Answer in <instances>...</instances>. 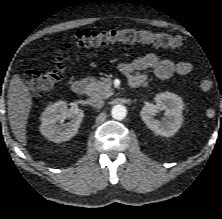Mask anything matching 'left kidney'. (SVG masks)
<instances>
[{
    "label": "left kidney",
    "mask_w": 222,
    "mask_h": 219,
    "mask_svg": "<svg viewBox=\"0 0 222 219\" xmlns=\"http://www.w3.org/2000/svg\"><path fill=\"white\" fill-rule=\"evenodd\" d=\"M183 106L181 97L171 92H163L156 95L155 104L144 105L140 115L147 127L154 133L171 137L182 125ZM162 110L166 112V117L159 121L154 116Z\"/></svg>",
    "instance_id": "5707ae66"
}]
</instances>
